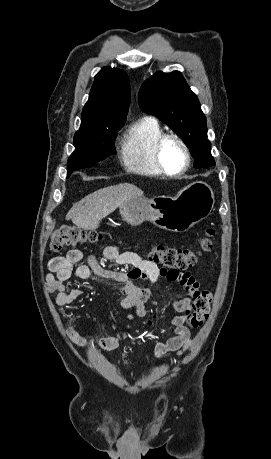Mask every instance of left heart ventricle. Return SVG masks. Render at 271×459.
Returning a JSON list of instances; mask_svg holds the SVG:
<instances>
[{
    "mask_svg": "<svg viewBox=\"0 0 271 459\" xmlns=\"http://www.w3.org/2000/svg\"><path fill=\"white\" fill-rule=\"evenodd\" d=\"M162 156L168 169L173 172L180 171L186 166V151L181 142L175 138H169L164 142Z\"/></svg>",
    "mask_w": 271,
    "mask_h": 459,
    "instance_id": "b2bd125f",
    "label": "left heart ventricle"
}]
</instances>
